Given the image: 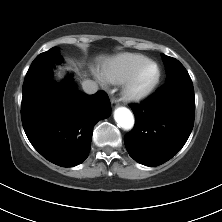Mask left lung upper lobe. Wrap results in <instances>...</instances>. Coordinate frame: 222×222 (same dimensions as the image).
Listing matches in <instances>:
<instances>
[{
	"label": "left lung upper lobe",
	"mask_w": 222,
	"mask_h": 222,
	"mask_svg": "<svg viewBox=\"0 0 222 222\" xmlns=\"http://www.w3.org/2000/svg\"><path fill=\"white\" fill-rule=\"evenodd\" d=\"M163 60L167 71L166 83L191 79L187 70L177 59L164 56Z\"/></svg>",
	"instance_id": "1"
}]
</instances>
